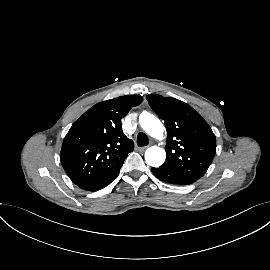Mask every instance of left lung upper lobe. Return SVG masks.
Returning a JSON list of instances; mask_svg holds the SVG:
<instances>
[{
	"instance_id": "1",
	"label": "left lung upper lobe",
	"mask_w": 270,
	"mask_h": 270,
	"mask_svg": "<svg viewBox=\"0 0 270 270\" xmlns=\"http://www.w3.org/2000/svg\"><path fill=\"white\" fill-rule=\"evenodd\" d=\"M150 107L164 120L167 130L166 161L162 168L180 171L194 179L209 168L216 138L207 122L188 104L158 94L146 97Z\"/></svg>"
}]
</instances>
